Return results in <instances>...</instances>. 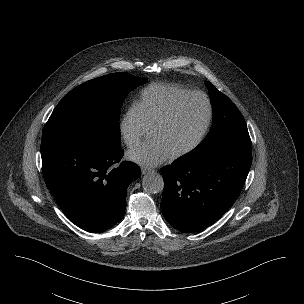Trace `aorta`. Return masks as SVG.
I'll use <instances>...</instances> for the list:
<instances>
[{"mask_svg":"<svg viewBox=\"0 0 304 304\" xmlns=\"http://www.w3.org/2000/svg\"><path fill=\"white\" fill-rule=\"evenodd\" d=\"M142 186L148 193H159L163 190L164 181L160 174L150 172L143 177Z\"/></svg>","mask_w":304,"mask_h":304,"instance_id":"1","label":"aorta"}]
</instances>
